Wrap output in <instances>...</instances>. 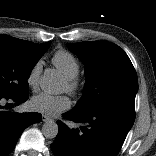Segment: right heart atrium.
I'll list each match as a JSON object with an SVG mask.
<instances>
[{
  "label": "right heart atrium",
  "instance_id": "obj_1",
  "mask_svg": "<svg viewBox=\"0 0 156 156\" xmlns=\"http://www.w3.org/2000/svg\"><path fill=\"white\" fill-rule=\"evenodd\" d=\"M42 67H43L42 62L37 61L36 63L33 64V66L31 67V69L29 70L27 74L26 82H27V85L32 90L38 89Z\"/></svg>",
  "mask_w": 156,
  "mask_h": 156
}]
</instances>
